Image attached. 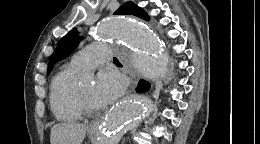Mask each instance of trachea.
<instances>
[{"mask_svg":"<svg viewBox=\"0 0 260 144\" xmlns=\"http://www.w3.org/2000/svg\"><path fill=\"white\" fill-rule=\"evenodd\" d=\"M113 62L114 63H120L119 60L116 57L113 58Z\"/></svg>","mask_w":260,"mask_h":144,"instance_id":"obj_1","label":"trachea"}]
</instances>
